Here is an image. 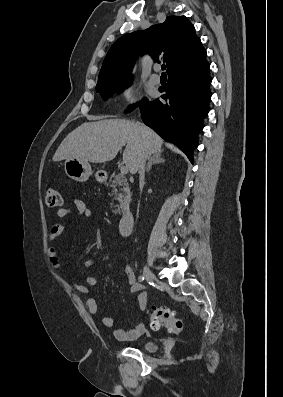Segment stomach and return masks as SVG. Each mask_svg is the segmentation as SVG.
Returning a JSON list of instances; mask_svg holds the SVG:
<instances>
[{"label": "stomach", "mask_w": 283, "mask_h": 397, "mask_svg": "<svg viewBox=\"0 0 283 397\" xmlns=\"http://www.w3.org/2000/svg\"><path fill=\"white\" fill-rule=\"evenodd\" d=\"M65 173L73 180L84 182L92 174V169L88 161L77 158H67L64 164ZM97 179H101L96 174Z\"/></svg>", "instance_id": "obj_1"}]
</instances>
